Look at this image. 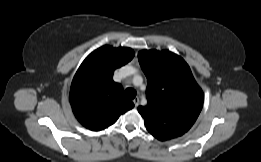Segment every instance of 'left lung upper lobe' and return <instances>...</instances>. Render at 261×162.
Segmentation results:
<instances>
[{"label": "left lung upper lobe", "instance_id": "obj_1", "mask_svg": "<svg viewBox=\"0 0 261 162\" xmlns=\"http://www.w3.org/2000/svg\"><path fill=\"white\" fill-rule=\"evenodd\" d=\"M138 59L148 81V103L138 107L147 130L160 141L182 136L198 118L204 99L190 67L168 50H142Z\"/></svg>", "mask_w": 261, "mask_h": 162}]
</instances>
